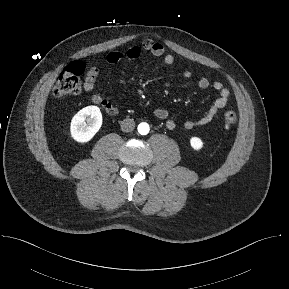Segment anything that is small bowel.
<instances>
[{"label": "small bowel", "instance_id": "1", "mask_svg": "<svg viewBox=\"0 0 289 289\" xmlns=\"http://www.w3.org/2000/svg\"><path fill=\"white\" fill-rule=\"evenodd\" d=\"M142 50L151 53L157 58H161L166 65H172L175 61L174 56L166 53L165 48L161 43L152 39L144 40L141 47L132 46L124 52L112 51L107 55L106 61L109 64H116L124 59L135 60L140 57ZM99 73L100 71L97 67H92L87 71L83 84L86 91L92 92L94 90ZM182 74L184 78H190L192 76V73L189 70H184ZM197 85L202 89L211 86L218 92V97L204 115L196 119L187 120L184 123L186 129L207 125L213 120L217 112L224 108L229 102L230 91L224 87L220 81L211 83L206 75H200L197 78ZM91 100L94 104L101 106L108 114L115 115L119 111L114 104L97 93L91 95ZM152 113L156 118L166 120V127L169 130L175 129L176 123L173 119L169 118V112L166 109L156 107L152 110Z\"/></svg>", "mask_w": 289, "mask_h": 289}]
</instances>
